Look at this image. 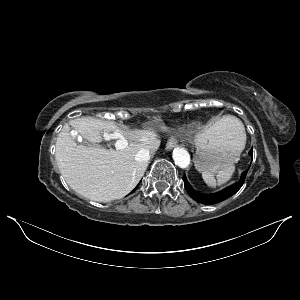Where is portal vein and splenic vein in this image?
Returning a JSON list of instances; mask_svg holds the SVG:
<instances>
[{
	"label": "portal vein and splenic vein",
	"mask_w": 300,
	"mask_h": 300,
	"mask_svg": "<svg viewBox=\"0 0 300 300\" xmlns=\"http://www.w3.org/2000/svg\"><path fill=\"white\" fill-rule=\"evenodd\" d=\"M112 138L117 139L115 143L116 149H124L128 145V141L119 133L112 134Z\"/></svg>",
	"instance_id": "1"
}]
</instances>
